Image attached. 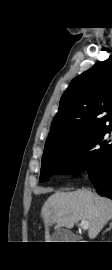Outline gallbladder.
I'll return each instance as SVG.
<instances>
[{
	"mask_svg": "<svg viewBox=\"0 0 112 270\" xmlns=\"http://www.w3.org/2000/svg\"><path fill=\"white\" fill-rule=\"evenodd\" d=\"M77 239L76 235L63 228L57 229L52 235L53 242H73Z\"/></svg>",
	"mask_w": 112,
	"mask_h": 270,
	"instance_id": "gallbladder-1",
	"label": "gallbladder"
}]
</instances>
